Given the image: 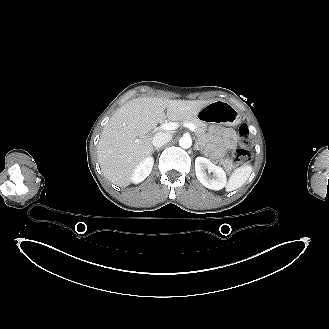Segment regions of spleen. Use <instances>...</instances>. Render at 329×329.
Instances as JSON below:
<instances>
[{
  "label": "spleen",
  "mask_w": 329,
  "mask_h": 329,
  "mask_svg": "<svg viewBox=\"0 0 329 329\" xmlns=\"http://www.w3.org/2000/svg\"><path fill=\"white\" fill-rule=\"evenodd\" d=\"M251 172L252 167L249 165H244L236 169L230 176L226 191L231 192L241 187L248 180Z\"/></svg>",
  "instance_id": "1"
}]
</instances>
